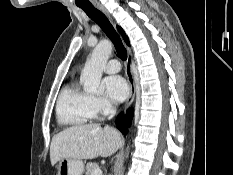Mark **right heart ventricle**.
I'll return each mask as SVG.
<instances>
[{
  "label": "right heart ventricle",
  "instance_id": "1",
  "mask_svg": "<svg viewBox=\"0 0 233 175\" xmlns=\"http://www.w3.org/2000/svg\"><path fill=\"white\" fill-rule=\"evenodd\" d=\"M95 115L90 94L75 83L63 87L56 104V117L61 125L80 127L92 120Z\"/></svg>",
  "mask_w": 233,
  "mask_h": 175
}]
</instances>
